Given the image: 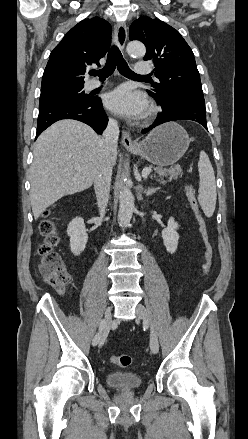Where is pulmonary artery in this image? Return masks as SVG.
Here are the masks:
<instances>
[{"instance_id":"1","label":"pulmonary artery","mask_w":248,"mask_h":439,"mask_svg":"<svg viewBox=\"0 0 248 439\" xmlns=\"http://www.w3.org/2000/svg\"><path fill=\"white\" fill-rule=\"evenodd\" d=\"M152 71V68L150 66V64L148 62L145 61H140L136 64V68H135V74L140 75V76H148ZM102 86V83H100L99 81L96 80H92L88 83V88L89 89H96L98 87Z\"/></svg>"}]
</instances>
